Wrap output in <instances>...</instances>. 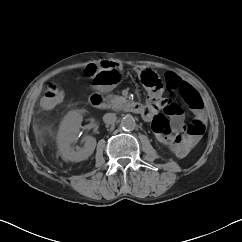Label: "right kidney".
I'll return each instance as SVG.
<instances>
[{
    "label": "right kidney",
    "instance_id": "right-kidney-1",
    "mask_svg": "<svg viewBox=\"0 0 242 242\" xmlns=\"http://www.w3.org/2000/svg\"><path fill=\"white\" fill-rule=\"evenodd\" d=\"M83 110L69 111L63 118L57 136L58 151L65 161L80 162L86 160L94 152L96 139L92 136H84L82 148L74 149L72 144L77 142L78 133L83 120Z\"/></svg>",
    "mask_w": 242,
    "mask_h": 242
}]
</instances>
